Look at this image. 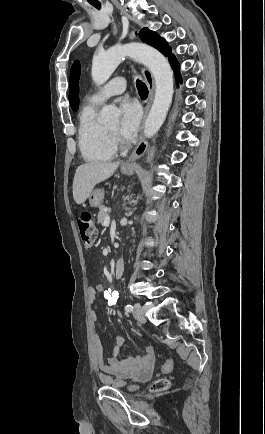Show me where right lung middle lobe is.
I'll list each match as a JSON object with an SVG mask.
<instances>
[{
  "instance_id": "right-lung-middle-lobe-1",
  "label": "right lung middle lobe",
  "mask_w": 265,
  "mask_h": 434,
  "mask_svg": "<svg viewBox=\"0 0 265 434\" xmlns=\"http://www.w3.org/2000/svg\"><path fill=\"white\" fill-rule=\"evenodd\" d=\"M72 109H73L74 111H77L78 108L76 107V108H72Z\"/></svg>"
}]
</instances>
